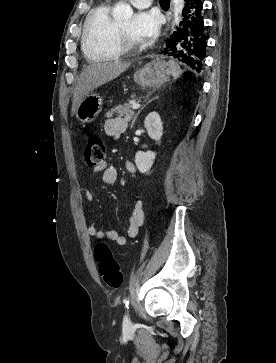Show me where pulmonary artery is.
Here are the masks:
<instances>
[{"instance_id": "pulmonary-artery-1", "label": "pulmonary artery", "mask_w": 276, "mask_h": 363, "mask_svg": "<svg viewBox=\"0 0 276 363\" xmlns=\"http://www.w3.org/2000/svg\"><path fill=\"white\" fill-rule=\"evenodd\" d=\"M130 2L136 8L144 9L151 5L152 0H130Z\"/></svg>"}]
</instances>
